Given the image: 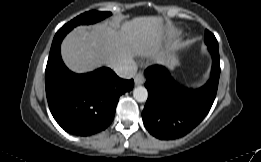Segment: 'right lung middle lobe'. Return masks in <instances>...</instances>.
<instances>
[{"label":"right lung middle lobe","mask_w":261,"mask_h":162,"mask_svg":"<svg viewBox=\"0 0 261 162\" xmlns=\"http://www.w3.org/2000/svg\"><path fill=\"white\" fill-rule=\"evenodd\" d=\"M110 12H99V11H88L83 13L67 24H65L61 29H73L75 26L80 24H91L103 20L104 18L110 16Z\"/></svg>","instance_id":"1"}]
</instances>
